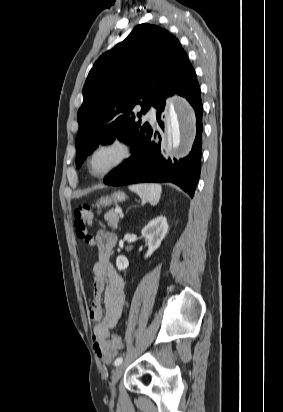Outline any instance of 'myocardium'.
<instances>
[{"mask_svg": "<svg viewBox=\"0 0 283 412\" xmlns=\"http://www.w3.org/2000/svg\"><path fill=\"white\" fill-rule=\"evenodd\" d=\"M109 148L118 149L119 157L106 169L102 171L93 170L92 160L94 156L101 150L109 149ZM132 155H133V147L131 143L121 137H115V138L108 139V140L98 143L90 150V152L88 153L86 157V168H87V171L92 176L97 177V178H102L116 171L117 169L121 168L123 165H125L131 159Z\"/></svg>", "mask_w": 283, "mask_h": 412, "instance_id": "1", "label": "myocardium"}]
</instances>
